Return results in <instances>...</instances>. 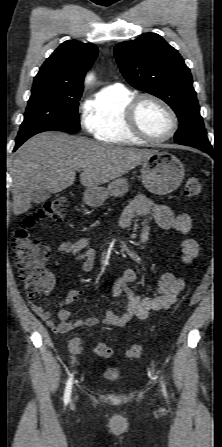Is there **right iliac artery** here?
Returning a JSON list of instances; mask_svg holds the SVG:
<instances>
[{
  "label": "right iliac artery",
  "instance_id": "1",
  "mask_svg": "<svg viewBox=\"0 0 222 447\" xmlns=\"http://www.w3.org/2000/svg\"><path fill=\"white\" fill-rule=\"evenodd\" d=\"M72 380H73V375H71V377L68 379L67 384H66L65 393H64V403L65 404H67L70 400L71 389H72Z\"/></svg>",
  "mask_w": 222,
  "mask_h": 447
}]
</instances>
